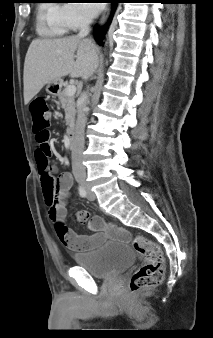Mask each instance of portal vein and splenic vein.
<instances>
[{
	"instance_id": "obj_1",
	"label": "portal vein and splenic vein",
	"mask_w": 213,
	"mask_h": 338,
	"mask_svg": "<svg viewBox=\"0 0 213 338\" xmlns=\"http://www.w3.org/2000/svg\"><path fill=\"white\" fill-rule=\"evenodd\" d=\"M65 93L68 96H73L76 93V86L75 85H69L65 89Z\"/></svg>"
}]
</instances>
